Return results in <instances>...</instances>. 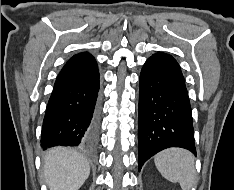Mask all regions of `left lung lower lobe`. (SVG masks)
I'll list each match as a JSON object with an SVG mask.
<instances>
[{"label": "left lung lower lobe", "mask_w": 234, "mask_h": 190, "mask_svg": "<svg viewBox=\"0 0 234 190\" xmlns=\"http://www.w3.org/2000/svg\"><path fill=\"white\" fill-rule=\"evenodd\" d=\"M139 171L159 151L180 147L196 155L191 106L177 61L158 52L143 65L139 80Z\"/></svg>", "instance_id": "left-lung-lower-lobe-1"}]
</instances>
